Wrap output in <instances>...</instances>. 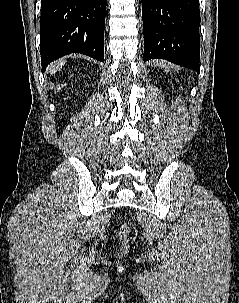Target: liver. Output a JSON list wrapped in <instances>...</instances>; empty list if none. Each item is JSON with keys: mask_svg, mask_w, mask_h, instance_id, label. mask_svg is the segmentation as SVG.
<instances>
[{"mask_svg": "<svg viewBox=\"0 0 239 303\" xmlns=\"http://www.w3.org/2000/svg\"><path fill=\"white\" fill-rule=\"evenodd\" d=\"M65 64V60L58 62L56 64H52L50 66V73L53 74L55 73L57 70H59L63 65Z\"/></svg>", "mask_w": 239, "mask_h": 303, "instance_id": "1", "label": "liver"}]
</instances>
